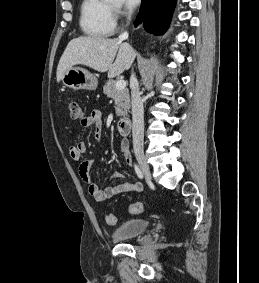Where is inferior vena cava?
Instances as JSON below:
<instances>
[{
  "label": "inferior vena cava",
  "instance_id": "1",
  "mask_svg": "<svg viewBox=\"0 0 259 283\" xmlns=\"http://www.w3.org/2000/svg\"><path fill=\"white\" fill-rule=\"evenodd\" d=\"M128 37V33L124 32L120 39ZM131 88V104H132V136L134 149H143L144 145V111L143 103L139 93V84L135 74L132 73L130 77Z\"/></svg>",
  "mask_w": 259,
  "mask_h": 283
}]
</instances>
